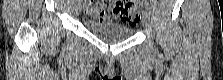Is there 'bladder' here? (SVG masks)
Segmentation results:
<instances>
[{
    "label": "bladder",
    "mask_w": 223,
    "mask_h": 80,
    "mask_svg": "<svg viewBox=\"0 0 223 80\" xmlns=\"http://www.w3.org/2000/svg\"><path fill=\"white\" fill-rule=\"evenodd\" d=\"M84 26L93 36L104 41H123L134 34V29L112 22L85 20Z\"/></svg>",
    "instance_id": "obj_1"
}]
</instances>
